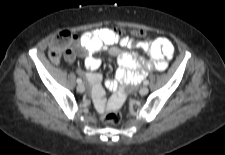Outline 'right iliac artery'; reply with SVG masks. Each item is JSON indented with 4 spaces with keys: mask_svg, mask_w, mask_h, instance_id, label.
<instances>
[{
    "mask_svg": "<svg viewBox=\"0 0 225 155\" xmlns=\"http://www.w3.org/2000/svg\"><path fill=\"white\" fill-rule=\"evenodd\" d=\"M77 83H78V84H81V83H82V80H81L80 78H78V79H77Z\"/></svg>",
    "mask_w": 225,
    "mask_h": 155,
    "instance_id": "right-iliac-artery-1",
    "label": "right iliac artery"
}]
</instances>
